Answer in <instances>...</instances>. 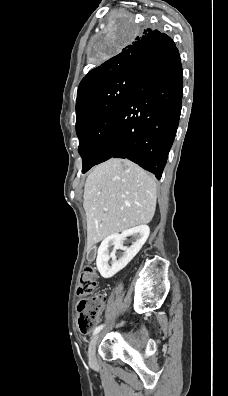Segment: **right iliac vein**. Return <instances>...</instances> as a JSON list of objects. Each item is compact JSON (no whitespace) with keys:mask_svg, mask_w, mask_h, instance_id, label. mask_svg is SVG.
<instances>
[{"mask_svg":"<svg viewBox=\"0 0 228 396\" xmlns=\"http://www.w3.org/2000/svg\"><path fill=\"white\" fill-rule=\"evenodd\" d=\"M100 338V334H96L90 341L89 343V348H88V357H89V361L91 364H95L96 363V346L97 343L99 341Z\"/></svg>","mask_w":228,"mask_h":396,"instance_id":"63e3f726","label":"right iliac vein"}]
</instances>
